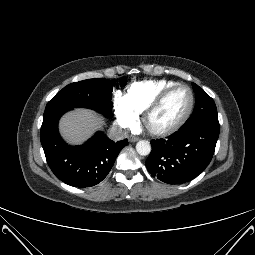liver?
Listing matches in <instances>:
<instances>
[{"instance_id":"obj_1","label":"liver","mask_w":255,"mask_h":255,"mask_svg":"<svg viewBox=\"0 0 255 255\" xmlns=\"http://www.w3.org/2000/svg\"><path fill=\"white\" fill-rule=\"evenodd\" d=\"M103 118L92 110L76 109L65 114L60 123V133L70 144H81L96 130L102 128Z\"/></svg>"}]
</instances>
